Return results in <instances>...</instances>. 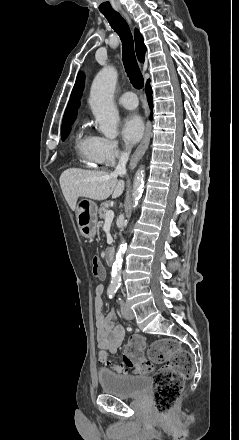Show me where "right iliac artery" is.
Instances as JSON below:
<instances>
[{
  "label": "right iliac artery",
  "instance_id": "82829eb1",
  "mask_svg": "<svg viewBox=\"0 0 239 440\" xmlns=\"http://www.w3.org/2000/svg\"><path fill=\"white\" fill-rule=\"evenodd\" d=\"M117 290H118V287L110 286L107 290L108 297L112 298L115 295Z\"/></svg>",
  "mask_w": 239,
  "mask_h": 440
}]
</instances>
